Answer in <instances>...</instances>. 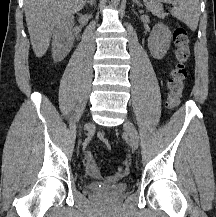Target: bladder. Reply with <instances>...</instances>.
<instances>
[{
    "instance_id": "31cf9c89",
    "label": "bladder",
    "mask_w": 216,
    "mask_h": 217,
    "mask_svg": "<svg viewBox=\"0 0 216 217\" xmlns=\"http://www.w3.org/2000/svg\"><path fill=\"white\" fill-rule=\"evenodd\" d=\"M87 188L98 196L114 199L123 195L127 191L128 186L125 183H118L111 186L99 187L97 184L91 183L87 185Z\"/></svg>"
}]
</instances>
